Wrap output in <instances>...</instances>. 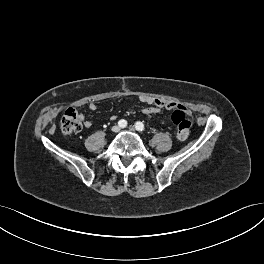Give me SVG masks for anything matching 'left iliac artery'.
Segmentation results:
<instances>
[{
    "mask_svg": "<svg viewBox=\"0 0 264 264\" xmlns=\"http://www.w3.org/2000/svg\"><path fill=\"white\" fill-rule=\"evenodd\" d=\"M135 128L138 130V131H144L145 127H144V124L140 121L136 122L135 123Z\"/></svg>",
    "mask_w": 264,
    "mask_h": 264,
    "instance_id": "1",
    "label": "left iliac artery"
}]
</instances>
